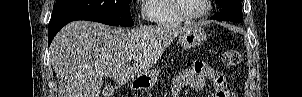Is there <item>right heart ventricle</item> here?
Instances as JSON below:
<instances>
[{
	"label": "right heart ventricle",
	"instance_id": "right-heart-ventricle-1",
	"mask_svg": "<svg viewBox=\"0 0 302 97\" xmlns=\"http://www.w3.org/2000/svg\"><path fill=\"white\" fill-rule=\"evenodd\" d=\"M145 13L157 26H177L185 23L174 10L173 0H147Z\"/></svg>",
	"mask_w": 302,
	"mask_h": 97
}]
</instances>
